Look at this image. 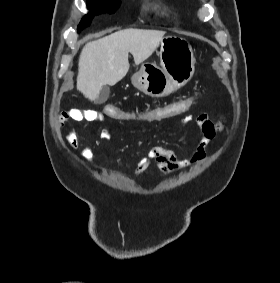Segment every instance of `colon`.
Returning a JSON list of instances; mask_svg holds the SVG:
<instances>
[{"label":"colon","mask_w":280,"mask_h":283,"mask_svg":"<svg viewBox=\"0 0 280 283\" xmlns=\"http://www.w3.org/2000/svg\"><path fill=\"white\" fill-rule=\"evenodd\" d=\"M199 94L198 90L194 94H186V97L175 99L174 103H165L156 105L151 108H144L145 114H138L137 111H127L126 108H118L120 103H105L103 108L104 116H109V119H121L122 122H129L130 119H139V123L145 125H153L154 122H166V119H175L176 116H183V112H192L193 105L196 101V95ZM80 110L73 109L68 111L65 115L78 112Z\"/></svg>","instance_id":"obj_1"}]
</instances>
